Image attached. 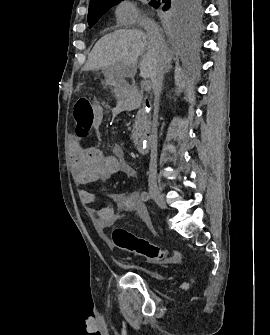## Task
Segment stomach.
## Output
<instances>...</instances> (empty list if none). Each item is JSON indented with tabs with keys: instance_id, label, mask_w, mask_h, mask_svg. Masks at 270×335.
Returning a JSON list of instances; mask_svg holds the SVG:
<instances>
[{
	"instance_id": "0dacf381",
	"label": "stomach",
	"mask_w": 270,
	"mask_h": 335,
	"mask_svg": "<svg viewBox=\"0 0 270 335\" xmlns=\"http://www.w3.org/2000/svg\"><path fill=\"white\" fill-rule=\"evenodd\" d=\"M115 72H116L115 68H105L106 78H111V80H113ZM117 92H119V88H117Z\"/></svg>"
}]
</instances>
